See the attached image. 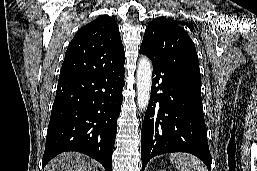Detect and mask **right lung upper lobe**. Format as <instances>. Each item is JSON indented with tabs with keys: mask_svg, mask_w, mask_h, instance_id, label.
<instances>
[{
	"mask_svg": "<svg viewBox=\"0 0 257 171\" xmlns=\"http://www.w3.org/2000/svg\"><path fill=\"white\" fill-rule=\"evenodd\" d=\"M125 62L116 20L104 15L83 26L70 42L60 78L80 77Z\"/></svg>",
	"mask_w": 257,
	"mask_h": 171,
	"instance_id": "obj_1",
	"label": "right lung upper lobe"
}]
</instances>
